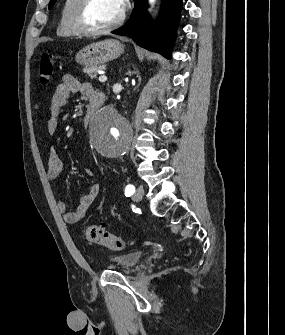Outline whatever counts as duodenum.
<instances>
[{
    "label": "duodenum",
    "instance_id": "1",
    "mask_svg": "<svg viewBox=\"0 0 285 335\" xmlns=\"http://www.w3.org/2000/svg\"><path fill=\"white\" fill-rule=\"evenodd\" d=\"M103 100L98 99V100H93L90 102V104L87 107L86 113L84 115V125L87 126L92 118L95 116L96 112L102 105Z\"/></svg>",
    "mask_w": 285,
    "mask_h": 335
}]
</instances>
